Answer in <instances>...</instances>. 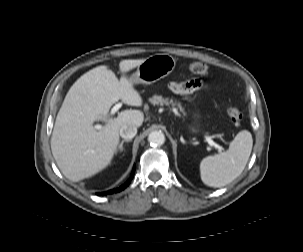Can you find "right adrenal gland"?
<instances>
[{
  "label": "right adrenal gland",
  "mask_w": 303,
  "mask_h": 252,
  "mask_svg": "<svg viewBox=\"0 0 303 252\" xmlns=\"http://www.w3.org/2000/svg\"><path fill=\"white\" fill-rule=\"evenodd\" d=\"M130 141H131L130 139L122 140L121 143L118 146V151L121 152L123 150V144H124V142H130Z\"/></svg>",
  "instance_id": "2a0ac1e0"
}]
</instances>
